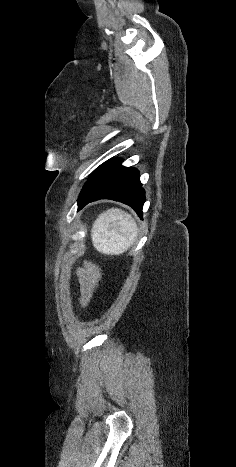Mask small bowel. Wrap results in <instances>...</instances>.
<instances>
[{
    "mask_svg": "<svg viewBox=\"0 0 236 467\" xmlns=\"http://www.w3.org/2000/svg\"><path fill=\"white\" fill-rule=\"evenodd\" d=\"M77 276L80 286V305L86 307L97 291L102 279V272L97 265L87 263L83 268L78 270Z\"/></svg>",
    "mask_w": 236,
    "mask_h": 467,
    "instance_id": "obj_1",
    "label": "small bowel"
}]
</instances>
